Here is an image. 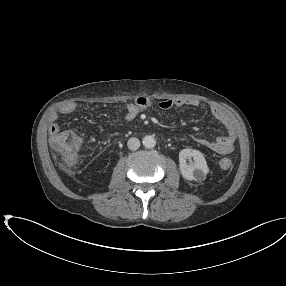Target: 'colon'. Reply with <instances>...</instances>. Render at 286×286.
Here are the masks:
<instances>
[{
    "instance_id": "colon-1",
    "label": "colon",
    "mask_w": 286,
    "mask_h": 286,
    "mask_svg": "<svg viewBox=\"0 0 286 286\" xmlns=\"http://www.w3.org/2000/svg\"><path fill=\"white\" fill-rule=\"evenodd\" d=\"M51 143L58 153L61 161L66 165H73L78 159V150L81 145V138L73 131L58 132L51 136ZM223 169H230L233 166L231 158H224L220 161Z\"/></svg>"
}]
</instances>
